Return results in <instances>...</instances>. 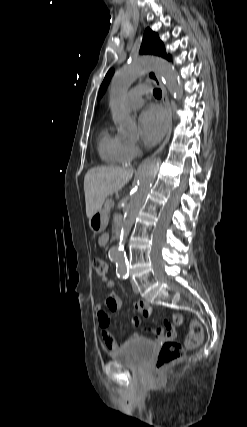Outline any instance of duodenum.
Returning a JSON list of instances; mask_svg holds the SVG:
<instances>
[{"mask_svg":"<svg viewBox=\"0 0 247 427\" xmlns=\"http://www.w3.org/2000/svg\"><path fill=\"white\" fill-rule=\"evenodd\" d=\"M121 229H122V225L119 224L116 228V238L119 239L121 236Z\"/></svg>","mask_w":247,"mask_h":427,"instance_id":"obj_1","label":"duodenum"}]
</instances>
